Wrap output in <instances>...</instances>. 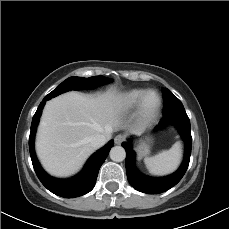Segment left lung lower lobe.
<instances>
[{
  "mask_svg": "<svg viewBox=\"0 0 229 229\" xmlns=\"http://www.w3.org/2000/svg\"><path fill=\"white\" fill-rule=\"evenodd\" d=\"M166 124L175 125L185 142L184 160L180 168L170 176L153 178L141 174L135 167V153L131 148L130 142L122 143L126 151V172L128 181L132 187L140 192L147 194L165 192L182 179L188 168L192 148V137L190 133V120L186 112H177L163 116L160 124L156 128L160 129Z\"/></svg>",
  "mask_w": 229,
  "mask_h": 229,
  "instance_id": "1",
  "label": "left lung lower lobe"
}]
</instances>
